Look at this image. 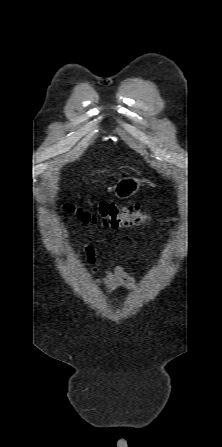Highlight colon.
<instances>
[{
    "label": "colon",
    "mask_w": 222,
    "mask_h": 447,
    "mask_svg": "<svg viewBox=\"0 0 222 447\" xmlns=\"http://www.w3.org/2000/svg\"><path fill=\"white\" fill-rule=\"evenodd\" d=\"M64 209L85 223L100 224L114 229L138 226L149 220V215L139 204L128 206L109 202H99L89 206L66 204Z\"/></svg>",
    "instance_id": "5ec220e1"
}]
</instances>
